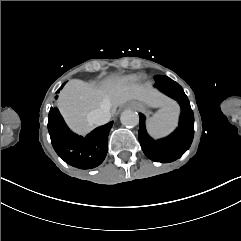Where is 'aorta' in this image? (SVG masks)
<instances>
[{"mask_svg":"<svg viewBox=\"0 0 241 241\" xmlns=\"http://www.w3.org/2000/svg\"><path fill=\"white\" fill-rule=\"evenodd\" d=\"M120 121L126 127H135L139 124V115L132 110H125L121 113Z\"/></svg>","mask_w":241,"mask_h":241,"instance_id":"obj_1","label":"aorta"}]
</instances>
